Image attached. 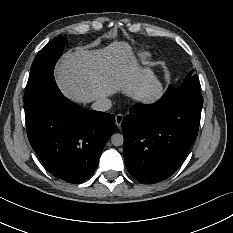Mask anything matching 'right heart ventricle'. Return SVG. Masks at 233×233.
<instances>
[{
  "mask_svg": "<svg viewBox=\"0 0 233 233\" xmlns=\"http://www.w3.org/2000/svg\"><path fill=\"white\" fill-rule=\"evenodd\" d=\"M149 57H150V54L148 52H145V51L138 54V59L141 62L146 61Z\"/></svg>",
  "mask_w": 233,
  "mask_h": 233,
  "instance_id": "right-heart-ventricle-1",
  "label": "right heart ventricle"
}]
</instances>
